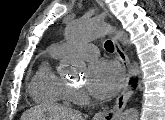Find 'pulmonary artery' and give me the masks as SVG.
<instances>
[{
  "label": "pulmonary artery",
  "mask_w": 165,
  "mask_h": 120,
  "mask_svg": "<svg viewBox=\"0 0 165 120\" xmlns=\"http://www.w3.org/2000/svg\"><path fill=\"white\" fill-rule=\"evenodd\" d=\"M61 52L66 51V46L64 44H58L56 46ZM78 52L85 57H96L99 54L98 48L93 44H83L78 47Z\"/></svg>",
  "instance_id": "1"
}]
</instances>
